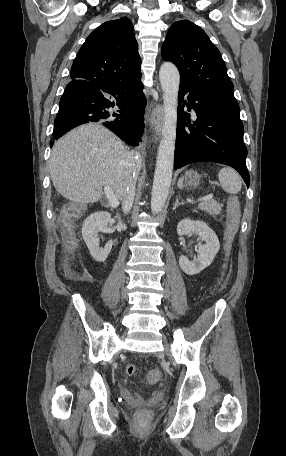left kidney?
<instances>
[{"label": "left kidney", "mask_w": 286, "mask_h": 456, "mask_svg": "<svg viewBox=\"0 0 286 456\" xmlns=\"http://www.w3.org/2000/svg\"><path fill=\"white\" fill-rule=\"evenodd\" d=\"M191 232L198 235L200 240L205 241V244L198 246L199 255L193 261H190L186 256L181 255L179 257V265L186 274L195 275L212 263L220 249V243L215 232L203 221L183 219L178 223L177 233L179 236Z\"/></svg>", "instance_id": "obj_1"}]
</instances>
